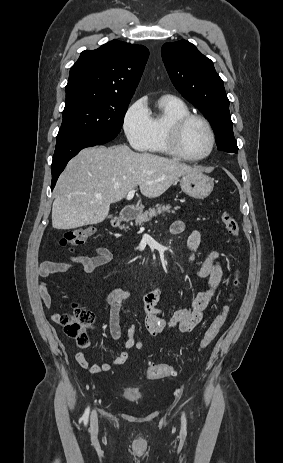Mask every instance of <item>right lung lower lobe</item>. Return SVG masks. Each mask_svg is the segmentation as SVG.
<instances>
[{"label":"right lung lower lobe","mask_w":283,"mask_h":463,"mask_svg":"<svg viewBox=\"0 0 283 463\" xmlns=\"http://www.w3.org/2000/svg\"><path fill=\"white\" fill-rule=\"evenodd\" d=\"M115 137L113 135H84L57 142L51 165V189L54 188L60 173L64 170L68 161L77 155L80 150L86 147L105 144Z\"/></svg>","instance_id":"98d812e1"}]
</instances>
